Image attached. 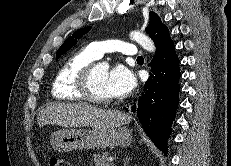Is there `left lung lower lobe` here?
Instances as JSON below:
<instances>
[{
	"label": "left lung lower lobe",
	"mask_w": 231,
	"mask_h": 166,
	"mask_svg": "<svg viewBox=\"0 0 231 166\" xmlns=\"http://www.w3.org/2000/svg\"><path fill=\"white\" fill-rule=\"evenodd\" d=\"M155 45L156 53L150 63L151 76L145 84L147 91L131 111L137 114L154 144L167 152L166 141L179 104L180 61L168 29L155 40Z\"/></svg>",
	"instance_id": "left-lung-lower-lobe-1"
}]
</instances>
